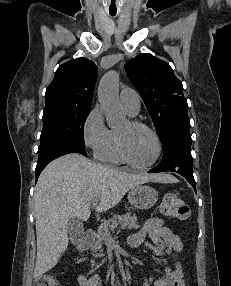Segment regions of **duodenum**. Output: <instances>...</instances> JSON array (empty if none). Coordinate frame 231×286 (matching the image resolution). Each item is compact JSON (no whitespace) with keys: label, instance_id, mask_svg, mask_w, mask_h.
<instances>
[{"label":"duodenum","instance_id":"1","mask_svg":"<svg viewBox=\"0 0 231 286\" xmlns=\"http://www.w3.org/2000/svg\"><path fill=\"white\" fill-rule=\"evenodd\" d=\"M94 240V233L92 231H87L76 241V247L81 250H87L90 248Z\"/></svg>","mask_w":231,"mask_h":286}]
</instances>
